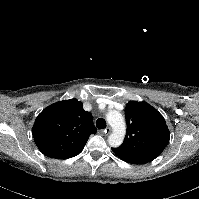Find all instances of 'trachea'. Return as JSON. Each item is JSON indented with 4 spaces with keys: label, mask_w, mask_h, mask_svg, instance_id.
<instances>
[{
    "label": "trachea",
    "mask_w": 199,
    "mask_h": 199,
    "mask_svg": "<svg viewBox=\"0 0 199 199\" xmlns=\"http://www.w3.org/2000/svg\"><path fill=\"white\" fill-rule=\"evenodd\" d=\"M96 126H97V128H99V129H104V128H106V122H105V120L102 119V118L97 119V121H96Z\"/></svg>",
    "instance_id": "3493384b"
}]
</instances>
